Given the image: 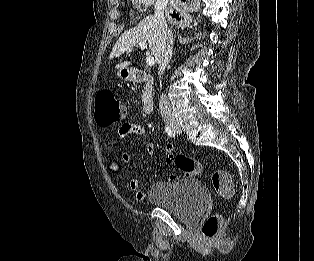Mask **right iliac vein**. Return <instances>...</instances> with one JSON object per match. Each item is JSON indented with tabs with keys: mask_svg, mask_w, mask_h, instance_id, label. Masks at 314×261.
Returning <instances> with one entry per match:
<instances>
[{
	"mask_svg": "<svg viewBox=\"0 0 314 261\" xmlns=\"http://www.w3.org/2000/svg\"><path fill=\"white\" fill-rule=\"evenodd\" d=\"M171 126H172V128H174V127H176L177 125H175V124H171Z\"/></svg>",
	"mask_w": 314,
	"mask_h": 261,
	"instance_id": "63e3f726",
	"label": "right iliac vein"
}]
</instances>
